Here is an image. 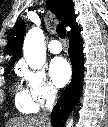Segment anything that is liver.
<instances>
[{
	"label": "liver",
	"mask_w": 108,
	"mask_h": 127,
	"mask_svg": "<svg viewBox=\"0 0 108 127\" xmlns=\"http://www.w3.org/2000/svg\"><path fill=\"white\" fill-rule=\"evenodd\" d=\"M5 127H51L41 116H25L9 119Z\"/></svg>",
	"instance_id": "obj_1"
}]
</instances>
